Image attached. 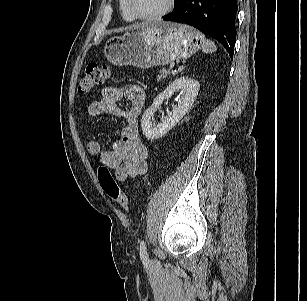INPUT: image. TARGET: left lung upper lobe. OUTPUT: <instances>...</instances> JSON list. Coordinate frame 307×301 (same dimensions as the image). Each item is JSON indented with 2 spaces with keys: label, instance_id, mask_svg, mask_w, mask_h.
Returning a JSON list of instances; mask_svg holds the SVG:
<instances>
[{
  "label": "left lung upper lobe",
  "instance_id": "obj_1",
  "mask_svg": "<svg viewBox=\"0 0 307 301\" xmlns=\"http://www.w3.org/2000/svg\"><path fill=\"white\" fill-rule=\"evenodd\" d=\"M179 0H175V5H176V3L178 2Z\"/></svg>",
  "mask_w": 307,
  "mask_h": 301
}]
</instances>
